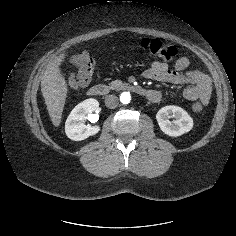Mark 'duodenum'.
Here are the masks:
<instances>
[{
  "mask_svg": "<svg viewBox=\"0 0 236 236\" xmlns=\"http://www.w3.org/2000/svg\"><path fill=\"white\" fill-rule=\"evenodd\" d=\"M117 88L134 92L144 98H150L153 92L149 89L143 88L141 86L135 85L133 83L123 82L114 85ZM110 86L104 84H95L88 89V95L92 97H99L106 95L110 91Z\"/></svg>",
  "mask_w": 236,
  "mask_h": 236,
  "instance_id": "obj_1",
  "label": "duodenum"
}]
</instances>
